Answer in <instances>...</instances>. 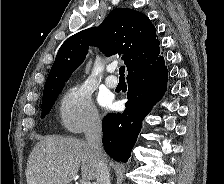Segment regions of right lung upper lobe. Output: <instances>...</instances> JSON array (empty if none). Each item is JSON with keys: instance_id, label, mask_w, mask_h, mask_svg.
<instances>
[{"instance_id": "1", "label": "right lung upper lobe", "mask_w": 224, "mask_h": 184, "mask_svg": "<svg viewBox=\"0 0 224 184\" xmlns=\"http://www.w3.org/2000/svg\"><path fill=\"white\" fill-rule=\"evenodd\" d=\"M159 44L156 28L145 14L129 8H116L98 29L82 30L62 44L45 82L43 95L64 87L72 72L84 61L89 46H97L106 56L123 54L129 77L164 61Z\"/></svg>"}]
</instances>
